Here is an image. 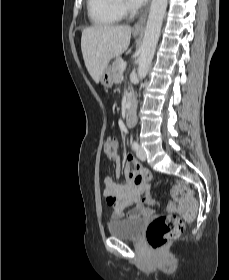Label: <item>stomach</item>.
Segmentation results:
<instances>
[{"mask_svg":"<svg viewBox=\"0 0 229 280\" xmlns=\"http://www.w3.org/2000/svg\"><path fill=\"white\" fill-rule=\"evenodd\" d=\"M101 84L105 87V88H110L112 87L114 81H113V72H112V68L111 67H107L102 76H101Z\"/></svg>","mask_w":229,"mask_h":280,"instance_id":"stomach-1","label":"stomach"}]
</instances>
